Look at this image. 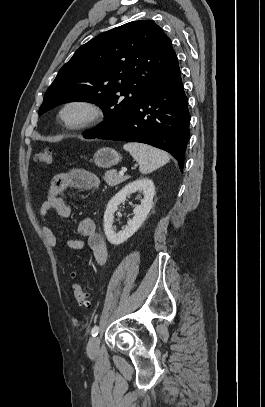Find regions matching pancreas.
I'll list each match as a JSON object with an SVG mask.
<instances>
[{"label": "pancreas", "mask_w": 265, "mask_h": 407, "mask_svg": "<svg viewBox=\"0 0 265 407\" xmlns=\"http://www.w3.org/2000/svg\"><path fill=\"white\" fill-rule=\"evenodd\" d=\"M128 178L125 176H120L116 171H107L104 175V180L109 186H117L118 184L124 182Z\"/></svg>", "instance_id": "1"}]
</instances>
